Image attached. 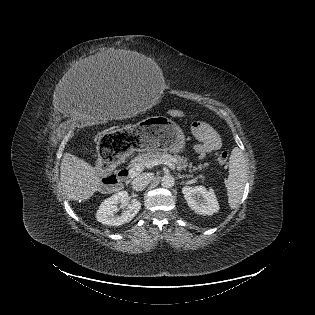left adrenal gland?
Listing matches in <instances>:
<instances>
[{"label":"left adrenal gland","instance_id":"left-adrenal-gland-1","mask_svg":"<svg viewBox=\"0 0 315 315\" xmlns=\"http://www.w3.org/2000/svg\"><path fill=\"white\" fill-rule=\"evenodd\" d=\"M178 176V178H188V177H191V175H181V174H178L177 175Z\"/></svg>","mask_w":315,"mask_h":315}]
</instances>
